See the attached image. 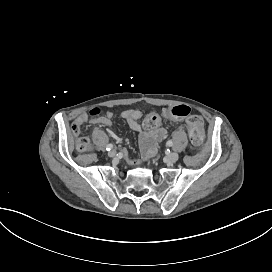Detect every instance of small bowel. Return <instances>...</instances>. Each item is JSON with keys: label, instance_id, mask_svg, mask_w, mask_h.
<instances>
[{"label": "small bowel", "instance_id": "small-bowel-1", "mask_svg": "<svg viewBox=\"0 0 272 272\" xmlns=\"http://www.w3.org/2000/svg\"><path fill=\"white\" fill-rule=\"evenodd\" d=\"M114 114L112 112H107L105 115L95 117L92 119H88V116L85 113H82L76 117L74 122H82L85 124L86 122H90L93 125H103L110 127L112 125V119ZM121 117L126 121L128 127L134 131L140 133V147L142 151V155L144 158H148L155 153L156 150V142L162 141L166 138L168 134V130L161 126H156L152 129L142 130L139 120L142 117V113L136 109H128L124 110L121 113ZM171 121H176L177 119L168 117Z\"/></svg>", "mask_w": 272, "mask_h": 272}]
</instances>
